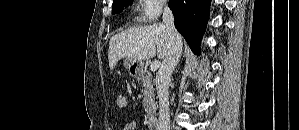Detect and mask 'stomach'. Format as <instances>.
<instances>
[{
	"mask_svg": "<svg viewBox=\"0 0 299 130\" xmlns=\"http://www.w3.org/2000/svg\"><path fill=\"white\" fill-rule=\"evenodd\" d=\"M124 66L129 71L130 74L138 75L143 68V63L141 60L126 58L124 60Z\"/></svg>",
	"mask_w": 299,
	"mask_h": 130,
	"instance_id": "0dacf381",
	"label": "stomach"
}]
</instances>
